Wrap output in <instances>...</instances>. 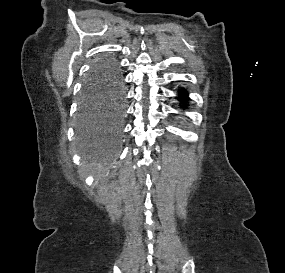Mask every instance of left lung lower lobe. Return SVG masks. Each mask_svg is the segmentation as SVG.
Returning <instances> with one entry per match:
<instances>
[{
    "instance_id": "1",
    "label": "left lung lower lobe",
    "mask_w": 285,
    "mask_h": 273,
    "mask_svg": "<svg viewBox=\"0 0 285 273\" xmlns=\"http://www.w3.org/2000/svg\"><path fill=\"white\" fill-rule=\"evenodd\" d=\"M179 99L181 101H187L188 100V94L186 91L180 90L179 91Z\"/></svg>"
}]
</instances>
